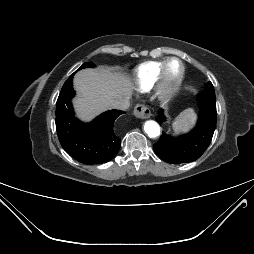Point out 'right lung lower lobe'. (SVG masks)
<instances>
[{"mask_svg":"<svg viewBox=\"0 0 254 254\" xmlns=\"http://www.w3.org/2000/svg\"><path fill=\"white\" fill-rule=\"evenodd\" d=\"M73 75L65 82L56 103V129L63 149L84 164H101L112 160L120 149L121 140L114 132V123L124 112L110 110L91 123H83L74 116L71 99Z\"/></svg>","mask_w":254,"mask_h":254,"instance_id":"1","label":"right lung lower lobe"}]
</instances>
